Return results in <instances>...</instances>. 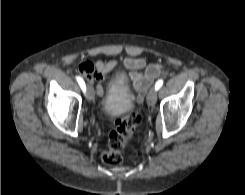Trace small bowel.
<instances>
[{"label":"small bowel","instance_id":"obj_1","mask_svg":"<svg viewBox=\"0 0 245 195\" xmlns=\"http://www.w3.org/2000/svg\"><path fill=\"white\" fill-rule=\"evenodd\" d=\"M124 65L129 70V79L139 99L142 98L161 72L160 64L147 65L144 58H126ZM116 66L117 61L115 60H97L96 62L84 60L80 62L78 69L90 83H96L97 93L102 96L104 94V84L109 79V73Z\"/></svg>","mask_w":245,"mask_h":195}]
</instances>
